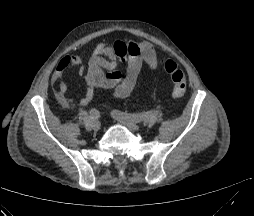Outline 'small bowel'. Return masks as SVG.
Listing matches in <instances>:
<instances>
[{"label":"small bowel","mask_w":254,"mask_h":216,"mask_svg":"<svg viewBox=\"0 0 254 216\" xmlns=\"http://www.w3.org/2000/svg\"><path fill=\"white\" fill-rule=\"evenodd\" d=\"M82 58L79 55L65 56L57 66L52 80L56 85L55 96L65 107L70 105L66 97L68 85L61 79L73 66L79 65ZM119 63L126 64V71L118 69ZM146 63L151 71L158 66V56L149 42H135L132 40H116L98 43L86 66L81 67L79 74L84 77L86 91L79 103L88 105L94 98L95 88L111 91L116 99L128 97L136 86L142 65Z\"/></svg>","instance_id":"1"}]
</instances>
